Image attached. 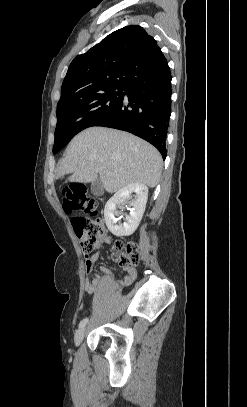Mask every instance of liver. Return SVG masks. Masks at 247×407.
<instances>
[{
    "label": "liver",
    "instance_id": "6515ba94",
    "mask_svg": "<svg viewBox=\"0 0 247 407\" xmlns=\"http://www.w3.org/2000/svg\"><path fill=\"white\" fill-rule=\"evenodd\" d=\"M161 171L162 157L151 144L124 131L91 127L69 143L58 176L72 173L70 182L88 183L99 173L105 190L114 193L132 183L153 188Z\"/></svg>",
    "mask_w": 247,
    "mask_h": 407
}]
</instances>
